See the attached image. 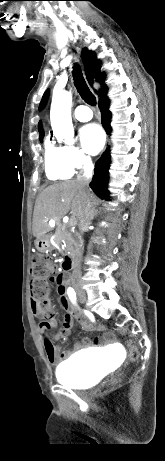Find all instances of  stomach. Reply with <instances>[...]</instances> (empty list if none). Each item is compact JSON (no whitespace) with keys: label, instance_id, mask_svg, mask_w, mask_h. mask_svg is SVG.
<instances>
[{"label":"stomach","instance_id":"obj_1","mask_svg":"<svg viewBox=\"0 0 165 461\" xmlns=\"http://www.w3.org/2000/svg\"><path fill=\"white\" fill-rule=\"evenodd\" d=\"M35 247L39 252H44L48 249H51L50 236L44 235L41 238L37 239L35 242Z\"/></svg>","mask_w":165,"mask_h":461}]
</instances>
